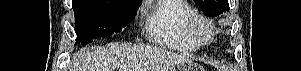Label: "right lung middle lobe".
I'll return each instance as SVG.
<instances>
[{
	"label": "right lung middle lobe",
	"instance_id": "1",
	"mask_svg": "<svg viewBox=\"0 0 301 71\" xmlns=\"http://www.w3.org/2000/svg\"><path fill=\"white\" fill-rule=\"evenodd\" d=\"M142 0H73L77 43L119 32L135 17Z\"/></svg>",
	"mask_w": 301,
	"mask_h": 71
}]
</instances>
